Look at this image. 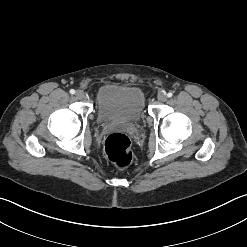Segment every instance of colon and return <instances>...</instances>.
<instances>
[{
    "label": "colon",
    "instance_id": "colon-1",
    "mask_svg": "<svg viewBox=\"0 0 247 247\" xmlns=\"http://www.w3.org/2000/svg\"><path fill=\"white\" fill-rule=\"evenodd\" d=\"M105 152L118 168L130 165L133 159L130 138L123 133H111L105 140Z\"/></svg>",
    "mask_w": 247,
    "mask_h": 247
}]
</instances>
